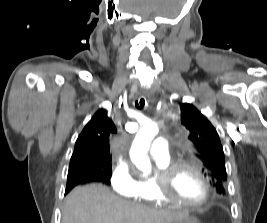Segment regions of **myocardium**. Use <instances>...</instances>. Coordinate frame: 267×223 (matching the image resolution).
<instances>
[{
	"label": "myocardium",
	"mask_w": 267,
	"mask_h": 223,
	"mask_svg": "<svg viewBox=\"0 0 267 223\" xmlns=\"http://www.w3.org/2000/svg\"><path fill=\"white\" fill-rule=\"evenodd\" d=\"M182 168H189L195 171L205 186V195L200 201L190 202L176 197L171 191V183L175 175ZM154 183L158 196L165 202L176 204L187 208H198L203 206L210 198L211 186L203 169L192 161H175L159 170L154 176Z\"/></svg>",
	"instance_id": "myocardium-1"
}]
</instances>
